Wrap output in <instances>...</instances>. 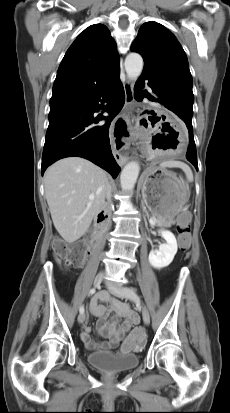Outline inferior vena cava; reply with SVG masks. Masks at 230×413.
<instances>
[{
  "mask_svg": "<svg viewBox=\"0 0 230 413\" xmlns=\"http://www.w3.org/2000/svg\"><path fill=\"white\" fill-rule=\"evenodd\" d=\"M106 197H107L108 203H111V186L110 185H108L107 187Z\"/></svg>",
  "mask_w": 230,
  "mask_h": 413,
  "instance_id": "602c4592",
  "label": "inferior vena cava"
}]
</instances>
